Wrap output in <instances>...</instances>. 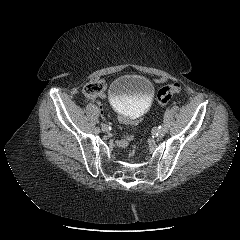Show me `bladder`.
I'll return each instance as SVG.
<instances>
[{"mask_svg": "<svg viewBox=\"0 0 240 240\" xmlns=\"http://www.w3.org/2000/svg\"><path fill=\"white\" fill-rule=\"evenodd\" d=\"M154 92V85L148 78L125 74L110 84L108 95L116 112L124 119H132L149 108Z\"/></svg>", "mask_w": 240, "mask_h": 240, "instance_id": "1", "label": "bladder"}]
</instances>
